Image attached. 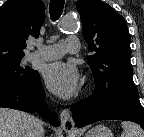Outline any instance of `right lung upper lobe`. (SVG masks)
I'll return each instance as SVG.
<instances>
[{
  "label": "right lung upper lobe",
  "mask_w": 144,
  "mask_h": 137,
  "mask_svg": "<svg viewBox=\"0 0 144 137\" xmlns=\"http://www.w3.org/2000/svg\"><path fill=\"white\" fill-rule=\"evenodd\" d=\"M44 19L41 0H8L0 7V66L24 57L25 41L39 37Z\"/></svg>",
  "instance_id": "right-lung-upper-lobe-1"
}]
</instances>
